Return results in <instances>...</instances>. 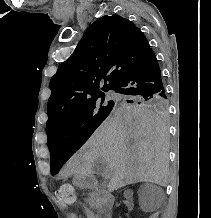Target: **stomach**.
<instances>
[{
    "mask_svg": "<svg viewBox=\"0 0 211 218\" xmlns=\"http://www.w3.org/2000/svg\"><path fill=\"white\" fill-rule=\"evenodd\" d=\"M74 180L77 185H82L85 182L84 176L82 175H76Z\"/></svg>",
    "mask_w": 211,
    "mask_h": 218,
    "instance_id": "0dacf381",
    "label": "stomach"
}]
</instances>
